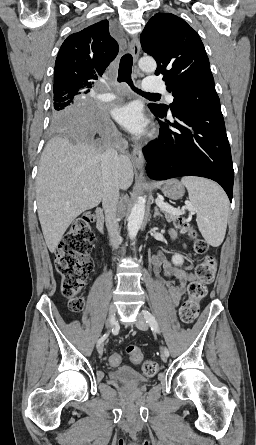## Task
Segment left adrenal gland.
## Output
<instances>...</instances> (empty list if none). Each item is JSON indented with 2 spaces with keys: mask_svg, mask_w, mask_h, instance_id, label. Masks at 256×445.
Segmentation results:
<instances>
[{
  "mask_svg": "<svg viewBox=\"0 0 256 445\" xmlns=\"http://www.w3.org/2000/svg\"><path fill=\"white\" fill-rule=\"evenodd\" d=\"M154 210H155L154 215H153L154 218H155L156 216L162 217L161 213L159 212L158 207H155Z\"/></svg>",
  "mask_w": 256,
  "mask_h": 445,
  "instance_id": "obj_1",
  "label": "left adrenal gland"
}]
</instances>
